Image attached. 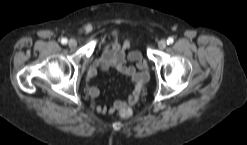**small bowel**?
<instances>
[{
    "label": "small bowel",
    "mask_w": 247,
    "mask_h": 145,
    "mask_svg": "<svg viewBox=\"0 0 247 145\" xmlns=\"http://www.w3.org/2000/svg\"><path fill=\"white\" fill-rule=\"evenodd\" d=\"M133 42L125 40L123 44L118 41H112L102 51L101 56L96 59L87 71V78H93L98 71L115 69L118 72L128 76L133 84L128 97L124 101H114L110 106L101 103L95 105V110L100 114L107 112L113 113L123 106H132L139 100L143 84L148 79V65L140 51H133L126 55L125 49L129 48ZM130 63H133L130 64ZM101 93L99 86H90L88 94L92 98H97Z\"/></svg>",
    "instance_id": "1"
}]
</instances>
